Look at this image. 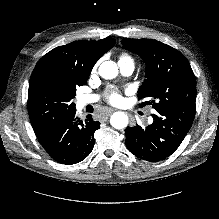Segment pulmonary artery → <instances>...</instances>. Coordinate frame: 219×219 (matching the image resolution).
<instances>
[{
    "label": "pulmonary artery",
    "instance_id": "e3ab8cb5",
    "mask_svg": "<svg viewBox=\"0 0 219 219\" xmlns=\"http://www.w3.org/2000/svg\"><path fill=\"white\" fill-rule=\"evenodd\" d=\"M120 70L122 74L128 76L134 71V62H122L119 63ZM98 100L96 95H83L79 98L80 106L83 107L87 104H92Z\"/></svg>",
    "mask_w": 219,
    "mask_h": 219
}]
</instances>
